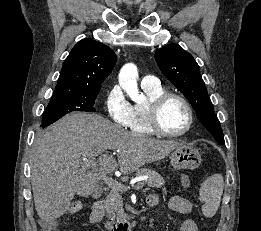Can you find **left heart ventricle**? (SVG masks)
Wrapping results in <instances>:
<instances>
[{"mask_svg":"<svg viewBox=\"0 0 261 231\" xmlns=\"http://www.w3.org/2000/svg\"><path fill=\"white\" fill-rule=\"evenodd\" d=\"M160 123L168 132L183 130L188 123V115L183 103L176 98L169 99L161 109Z\"/></svg>","mask_w":261,"mask_h":231,"instance_id":"b2bd125f","label":"left heart ventricle"}]
</instances>
